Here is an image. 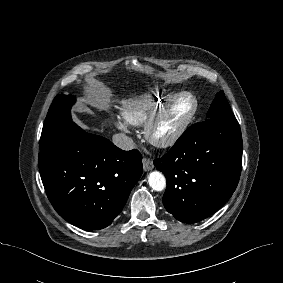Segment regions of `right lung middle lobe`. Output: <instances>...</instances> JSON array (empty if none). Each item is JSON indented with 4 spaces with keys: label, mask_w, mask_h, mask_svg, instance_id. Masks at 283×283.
Returning a JSON list of instances; mask_svg holds the SVG:
<instances>
[{
    "label": "right lung middle lobe",
    "mask_w": 283,
    "mask_h": 283,
    "mask_svg": "<svg viewBox=\"0 0 283 283\" xmlns=\"http://www.w3.org/2000/svg\"><path fill=\"white\" fill-rule=\"evenodd\" d=\"M75 102L72 95L56 96L47 113L40 138V151L50 148L55 140L72 125L71 106Z\"/></svg>",
    "instance_id": "obj_1"
}]
</instances>
